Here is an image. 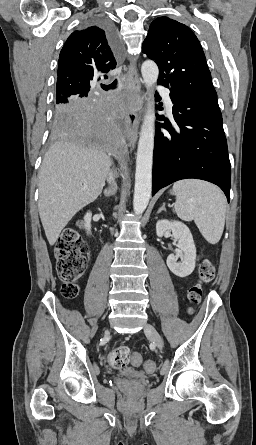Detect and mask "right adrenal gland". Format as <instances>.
I'll list each match as a JSON object with an SVG mask.
<instances>
[{
    "mask_svg": "<svg viewBox=\"0 0 256 445\" xmlns=\"http://www.w3.org/2000/svg\"><path fill=\"white\" fill-rule=\"evenodd\" d=\"M116 191H117V186H116V184L113 182V187H112V188H109V189H105V190L103 191V194H104L105 197H110V196H112V195H115Z\"/></svg>",
    "mask_w": 256,
    "mask_h": 445,
    "instance_id": "1",
    "label": "right adrenal gland"
}]
</instances>
